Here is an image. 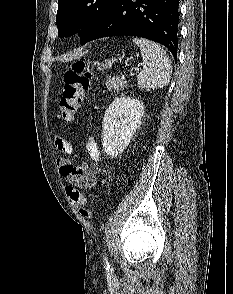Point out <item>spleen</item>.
Instances as JSON below:
<instances>
[{
	"label": "spleen",
	"instance_id": "spleen-1",
	"mask_svg": "<svg viewBox=\"0 0 233 294\" xmlns=\"http://www.w3.org/2000/svg\"><path fill=\"white\" fill-rule=\"evenodd\" d=\"M133 42L140 48L144 66L139 73L138 87L145 91L167 86L172 73L169 57L157 43L144 39L134 38Z\"/></svg>",
	"mask_w": 233,
	"mask_h": 294
}]
</instances>
